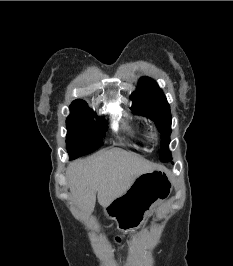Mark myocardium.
Returning a JSON list of instances; mask_svg holds the SVG:
<instances>
[{
    "instance_id": "f54148a6",
    "label": "myocardium",
    "mask_w": 233,
    "mask_h": 266,
    "mask_svg": "<svg viewBox=\"0 0 233 266\" xmlns=\"http://www.w3.org/2000/svg\"><path fill=\"white\" fill-rule=\"evenodd\" d=\"M153 139H157L158 138V133L156 131L152 132L151 134Z\"/></svg>"
}]
</instances>
